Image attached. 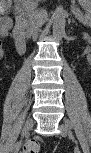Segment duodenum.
<instances>
[{
  "mask_svg": "<svg viewBox=\"0 0 91 153\" xmlns=\"http://www.w3.org/2000/svg\"><path fill=\"white\" fill-rule=\"evenodd\" d=\"M25 9L20 7L18 9V13L15 18V25L12 29V37L16 47V50L19 54H24L27 50L28 43L25 38L24 29H25V22L23 13Z\"/></svg>",
  "mask_w": 91,
  "mask_h": 153,
  "instance_id": "duodenum-1",
  "label": "duodenum"
}]
</instances>
